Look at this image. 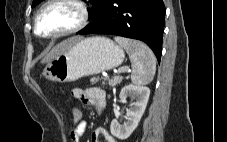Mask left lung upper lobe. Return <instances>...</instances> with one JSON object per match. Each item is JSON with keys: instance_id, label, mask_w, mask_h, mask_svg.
Wrapping results in <instances>:
<instances>
[{"instance_id": "obj_1", "label": "left lung upper lobe", "mask_w": 227, "mask_h": 142, "mask_svg": "<svg viewBox=\"0 0 227 142\" xmlns=\"http://www.w3.org/2000/svg\"><path fill=\"white\" fill-rule=\"evenodd\" d=\"M42 0H33L32 7L39 4ZM107 0H88V3L92 4V8L88 9L89 17L94 19L100 9L104 6Z\"/></svg>"}]
</instances>
